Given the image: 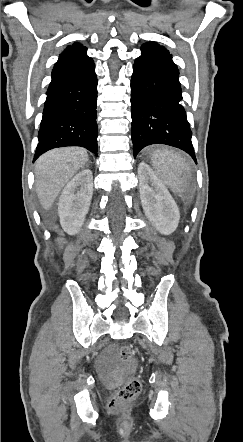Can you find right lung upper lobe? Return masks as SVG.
<instances>
[{"label": "right lung upper lobe", "instance_id": "right-lung-upper-lobe-1", "mask_svg": "<svg viewBox=\"0 0 243 442\" xmlns=\"http://www.w3.org/2000/svg\"><path fill=\"white\" fill-rule=\"evenodd\" d=\"M86 47L82 46L79 43H74L72 46H68L61 54L60 57L62 56H66V55H70V54H75L78 52H81L83 50H85Z\"/></svg>", "mask_w": 243, "mask_h": 442}]
</instances>
